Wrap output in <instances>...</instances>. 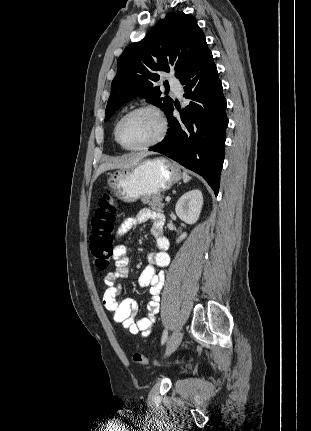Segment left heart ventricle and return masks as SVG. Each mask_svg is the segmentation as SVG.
<instances>
[{
    "label": "left heart ventricle",
    "instance_id": "left-heart-ventricle-1",
    "mask_svg": "<svg viewBox=\"0 0 311 431\" xmlns=\"http://www.w3.org/2000/svg\"><path fill=\"white\" fill-rule=\"evenodd\" d=\"M159 118L150 111H139L125 118L119 128L125 145L141 146L154 140L160 133Z\"/></svg>",
    "mask_w": 311,
    "mask_h": 431
}]
</instances>
